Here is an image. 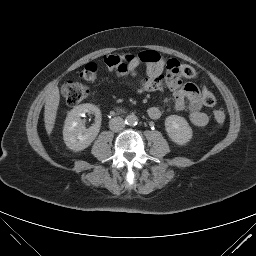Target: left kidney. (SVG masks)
<instances>
[{
  "mask_svg": "<svg viewBox=\"0 0 256 256\" xmlns=\"http://www.w3.org/2000/svg\"><path fill=\"white\" fill-rule=\"evenodd\" d=\"M165 130L169 138L178 145L187 144L193 136V131L186 119L178 115L166 118Z\"/></svg>",
  "mask_w": 256,
  "mask_h": 256,
  "instance_id": "left-kidney-1",
  "label": "left kidney"
}]
</instances>
